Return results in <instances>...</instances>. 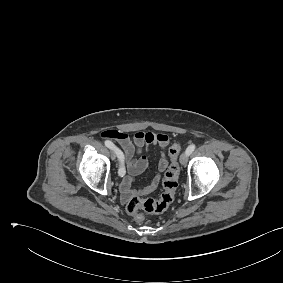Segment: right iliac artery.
I'll list each match as a JSON object with an SVG mask.
<instances>
[{"instance_id":"obj_1","label":"right iliac artery","mask_w":283,"mask_h":283,"mask_svg":"<svg viewBox=\"0 0 283 283\" xmlns=\"http://www.w3.org/2000/svg\"><path fill=\"white\" fill-rule=\"evenodd\" d=\"M105 146L108 147L109 149H112V150L115 151V153H116V155H117V157H118L119 163H120V165H119V170H118V174H119L120 176H123V175L125 174V170H124L123 163H122V161H123V154H122L121 150L118 149V148H117L111 141H109V140H106V141H105Z\"/></svg>"}]
</instances>
